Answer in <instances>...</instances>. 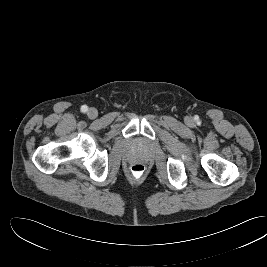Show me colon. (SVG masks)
Instances as JSON below:
<instances>
[{
  "instance_id": "colon-1",
  "label": "colon",
  "mask_w": 267,
  "mask_h": 267,
  "mask_svg": "<svg viewBox=\"0 0 267 267\" xmlns=\"http://www.w3.org/2000/svg\"><path fill=\"white\" fill-rule=\"evenodd\" d=\"M131 174L135 178H141L145 173V166L141 163H134L130 168Z\"/></svg>"
}]
</instances>
